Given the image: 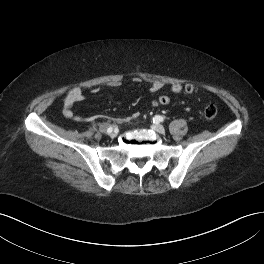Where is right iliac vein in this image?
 I'll return each mask as SVG.
<instances>
[{
  "label": "right iliac vein",
  "mask_w": 264,
  "mask_h": 264,
  "mask_svg": "<svg viewBox=\"0 0 264 264\" xmlns=\"http://www.w3.org/2000/svg\"><path fill=\"white\" fill-rule=\"evenodd\" d=\"M117 135V132L116 131H112L109 133V136L110 137H115Z\"/></svg>",
  "instance_id": "63e3f726"
}]
</instances>
